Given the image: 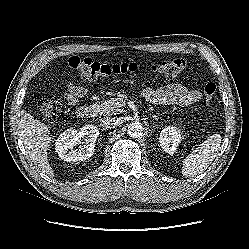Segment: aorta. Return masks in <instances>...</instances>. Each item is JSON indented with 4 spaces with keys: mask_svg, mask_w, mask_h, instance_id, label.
Masks as SVG:
<instances>
[{
    "mask_svg": "<svg viewBox=\"0 0 249 249\" xmlns=\"http://www.w3.org/2000/svg\"><path fill=\"white\" fill-rule=\"evenodd\" d=\"M143 126L140 122H132L128 125L127 133L132 138H140L143 136Z\"/></svg>",
    "mask_w": 249,
    "mask_h": 249,
    "instance_id": "1",
    "label": "aorta"
}]
</instances>
